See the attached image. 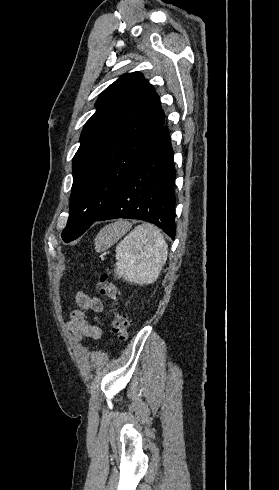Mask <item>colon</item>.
I'll list each match as a JSON object with an SVG mask.
<instances>
[{"mask_svg": "<svg viewBox=\"0 0 279 490\" xmlns=\"http://www.w3.org/2000/svg\"><path fill=\"white\" fill-rule=\"evenodd\" d=\"M97 289L103 298H106L107 300L118 301L119 293L117 291L116 285L108 276H102L98 280ZM129 326V320L122 315H116L112 319L113 334L122 339H125L128 336Z\"/></svg>", "mask_w": 279, "mask_h": 490, "instance_id": "1", "label": "colon"}]
</instances>
